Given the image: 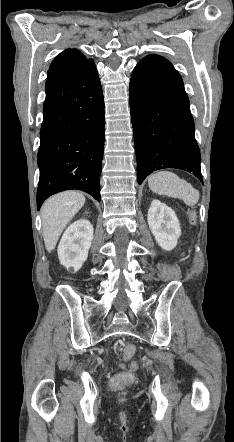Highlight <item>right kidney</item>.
I'll list each match as a JSON object with an SVG mask.
<instances>
[{
	"instance_id": "obj_1",
	"label": "right kidney",
	"mask_w": 234,
	"mask_h": 442,
	"mask_svg": "<svg viewBox=\"0 0 234 442\" xmlns=\"http://www.w3.org/2000/svg\"><path fill=\"white\" fill-rule=\"evenodd\" d=\"M93 239V226L87 219L73 222L64 232L59 246L58 257L66 268L78 271L87 260Z\"/></svg>"
}]
</instances>
